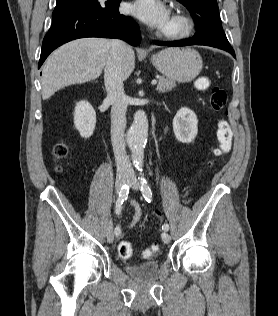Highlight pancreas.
Listing matches in <instances>:
<instances>
[{
    "label": "pancreas",
    "instance_id": "cf45deb5",
    "mask_svg": "<svg viewBox=\"0 0 278 316\" xmlns=\"http://www.w3.org/2000/svg\"><path fill=\"white\" fill-rule=\"evenodd\" d=\"M176 87V83L173 79L159 77V83L157 85V90L159 92L165 93L167 91H171Z\"/></svg>",
    "mask_w": 278,
    "mask_h": 316
}]
</instances>
